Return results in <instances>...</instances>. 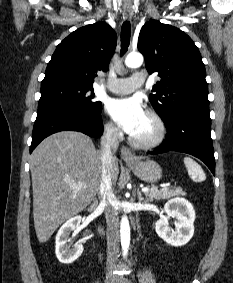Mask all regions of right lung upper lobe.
<instances>
[{
    "instance_id": "cb5924a9",
    "label": "right lung upper lobe",
    "mask_w": 233,
    "mask_h": 283,
    "mask_svg": "<svg viewBox=\"0 0 233 283\" xmlns=\"http://www.w3.org/2000/svg\"><path fill=\"white\" fill-rule=\"evenodd\" d=\"M117 36L105 22L77 29L56 48L42 82L67 81L93 87L98 70L107 71Z\"/></svg>"
}]
</instances>
